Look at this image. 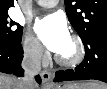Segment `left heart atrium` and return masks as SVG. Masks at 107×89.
Returning a JSON list of instances; mask_svg holds the SVG:
<instances>
[{
  "mask_svg": "<svg viewBox=\"0 0 107 89\" xmlns=\"http://www.w3.org/2000/svg\"><path fill=\"white\" fill-rule=\"evenodd\" d=\"M34 30L44 46L57 54L61 53L70 42L66 22L59 15H49L36 21Z\"/></svg>",
  "mask_w": 107,
  "mask_h": 89,
  "instance_id": "obj_1",
  "label": "left heart atrium"
}]
</instances>
